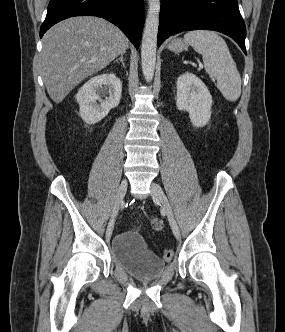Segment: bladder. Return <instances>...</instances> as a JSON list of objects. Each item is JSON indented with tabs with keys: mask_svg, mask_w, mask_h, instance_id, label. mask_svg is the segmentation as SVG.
<instances>
[{
	"mask_svg": "<svg viewBox=\"0 0 285 332\" xmlns=\"http://www.w3.org/2000/svg\"><path fill=\"white\" fill-rule=\"evenodd\" d=\"M111 254L117 265L139 279L154 278L166 268L165 262L147 248L135 230L115 235L111 241Z\"/></svg>",
	"mask_w": 285,
	"mask_h": 332,
	"instance_id": "31cf9c89",
	"label": "bladder"
}]
</instances>
